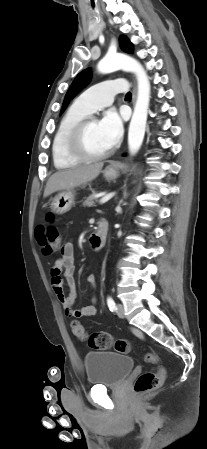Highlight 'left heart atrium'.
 Listing matches in <instances>:
<instances>
[{"instance_id": "39dd6f15", "label": "left heart atrium", "mask_w": 207, "mask_h": 449, "mask_svg": "<svg viewBox=\"0 0 207 449\" xmlns=\"http://www.w3.org/2000/svg\"><path fill=\"white\" fill-rule=\"evenodd\" d=\"M99 127L110 147L114 146L123 133V120L114 110L106 112L99 122Z\"/></svg>"}]
</instances>
